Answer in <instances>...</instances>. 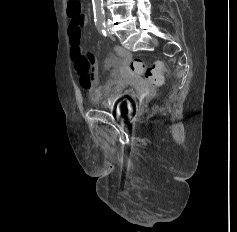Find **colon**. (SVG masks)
Returning <instances> with one entry per match:
<instances>
[{
    "label": "colon",
    "mask_w": 237,
    "mask_h": 232,
    "mask_svg": "<svg viewBox=\"0 0 237 232\" xmlns=\"http://www.w3.org/2000/svg\"><path fill=\"white\" fill-rule=\"evenodd\" d=\"M68 14L71 18H80L82 16V5L79 0H69ZM130 69L133 73L144 77L153 85H160L164 81L165 68L160 61L146 66L142 60L135 58L130 62Z\"/></svg>",
    "instance_id": "1"
}]
</instances>
